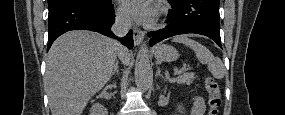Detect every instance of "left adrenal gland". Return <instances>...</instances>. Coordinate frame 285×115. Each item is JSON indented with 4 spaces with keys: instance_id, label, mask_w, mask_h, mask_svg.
Wrapping results in <instances>:
<instances>
[{
    "instance_id": "obj_1",
    "label": "left adrenal gland",
    "mask_w": 285,
    "mask_h": 115,
    "mask_svg": "<svg viewBox=\"0 0 285 115\" xmlns=\"http://www.w3.org/2000/svg\"><path fill=\"white\" fill-rule=\"evenodd\" d=\"M156 76H162V74H161V70H160V68H159V67H157Z\"/></svg>"
}]
</instances>
